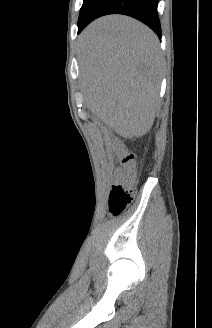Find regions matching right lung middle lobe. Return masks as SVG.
<instances>
[{"mask_svg": "<svg viewBox=\"0 0 212 328\" xmlns=\"http://www.w3.org/2000/svg\"><path fill=\"white\" fill-rule=\"evenodd\" d=\"M96 0H84L83 1V5L81 7L80 10V16H79V20H78V26L82 23V21L84 20L89 8L93 5V3Z\"/></svg>", "mask_w": 212, "mask_h": 328, "instance_id": "right-lung-middle-lobe-1", "label": "right lung middle lobe"}]
</instances>
